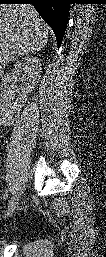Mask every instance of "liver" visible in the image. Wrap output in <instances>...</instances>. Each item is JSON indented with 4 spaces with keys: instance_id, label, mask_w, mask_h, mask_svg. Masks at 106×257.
<instances>
[{
    "instance_id": "obj_1",
    "label": "liver",
    "mask_w": 106,
    "mask_h": 257,
    "mask_svg": "<svg viewBox=\"0 0 106 257\" xmlns=\"http://www.w3.org/2000/svg\"><path fill=\"white\" fill-rule=\"evenodd\" d=\"M49 27L30 4L0 7V64L40 51L48 42Z\"/></svg>"
}]
</instances>
